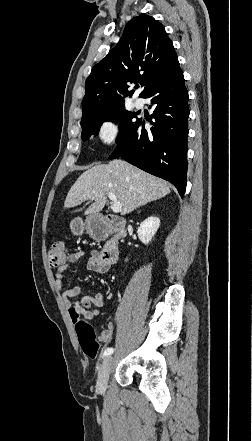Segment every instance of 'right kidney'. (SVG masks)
<instances>
[{"label":"right kidney","mask_w":252,"mask_h":441,"mask_svg":"<svg viewBox=\"0 0 252 441\" xmlns=\"http://www.w3.org/2000/svg\"><path fill=\"white\" fill-rule=\"evenodd\" d=\"M159 226L160 219L158 217L151 216L144 220L137 230L140 241L147 245L156 234Z\"/></svg>","instance_id":"1"}]
</instances>
